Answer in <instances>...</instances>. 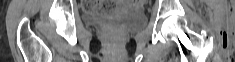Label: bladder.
I'll return each instance as SVG.
<instances>
[{
    "instance_id": "obj_1",
    "label": "bladder",
    "mask_w": 235,
    "mask_h": 62,
    "mask_svg": "<svg viewBox=\"0 0 235 62\" xmlns=\"http://www.w3.org/2000/svg\"><path fill=\"white\" fill-rule=\"evenodd\" d=\"M85 20L88 24L98 26L105 22H114L128 29H136L146 23L143 11L128 1L121 2L117 8L107 15L87 13Z\"/></svg>"
}]
</instances>
